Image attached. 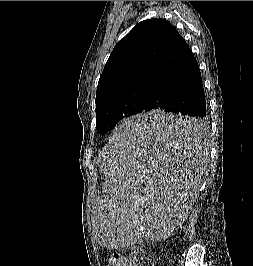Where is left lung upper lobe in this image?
<instances>
[{"instance_id":"5c2ea615","label":"left lung upper lobe","mask_w":253,"mask_h":266,"mask_svg":"<svg viewBox=\"0 0 253 266\" xmlns=\"http://www.w3.org/2000/svg\"><path fill=\"white\" fill-rule=\"evenodd\" d=\"M175 32L164 19H148L115 45L97 86L96 128L100 134L143 112L153 73Z\"/></svg>"}]
</instances>
